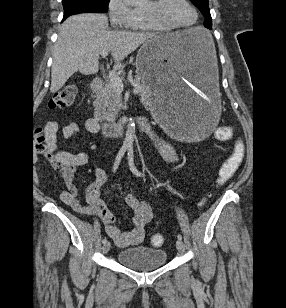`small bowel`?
Instances as JSON below:
<instances>
[{
    "label": "small bowel",
    "mask_w": 286,
    "mask_h": 308,
    "mask_svg": "<svg viewBox=\"0 0 286 308\" xmlns=\"http://www.w3.org/2000/svg\"><path fill=\"white\" fill-rule=\"evenodd\" d=\"M91 134L99 132L100 126L93 118H87L81 125L78 122H69L61 128L64 139L73 138L81 129ZM58 124L54 121L47 123L45 136L49 143L55 147L57 144ZM157 149L164 160L170 164L178 163V156L172 146L164 139H156ZM56 159L65 166L63 179L67 189L60 194L62 202L80 214H87L100 218L104 222L105 231L113 239L118 247L125 248L142 242L145 226L152 219L151 206L146 201H140L133 195L125 196V203L133 211V227L131 230L123 231L115 225V216L101 199V188L107 179L104 169H95L94 181L87 187L85 192V204L78 199V189L74 184V176L77 168L89 162L86 152L58 151Z\"/></svg>",
    "instance_id": "1"
}]
</instances>
